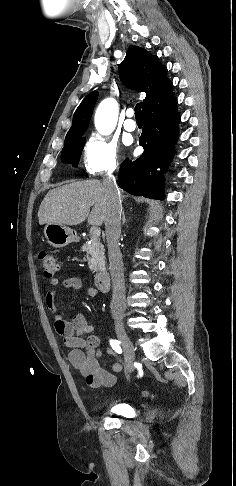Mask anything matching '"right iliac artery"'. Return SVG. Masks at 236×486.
I'll return each instance as SVG.
<instances>
[{"mask_svg": "<svg viewBox=\"0 0 236 486\" xmlns=\"http://www.w3.org/2000/svg\"><path fill=\"white\" fill-rule=\"evenodd\" d=\"M110 345L113 348V350L117 353H122V349L120 347V342L118 340H110Z\"/></svg>", "mask_w": 236, "mask_h": 486, "instance_id": "right-iliac-artery-1", "label": "right iliac artery"}]
</instances>
